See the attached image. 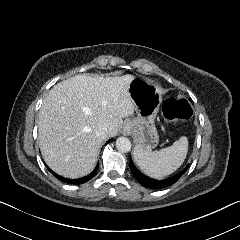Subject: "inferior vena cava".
I'll return each instance as SVG.
<instances>
[{"mask_svg":"<svg viewBox=\"0 0 240 240\" xmlns=\"http://www.w3.org/2000/svg\"><path fill=\"white\" fill-rule=\"evenodd\" d=\"M96 134L101 138V139H106L108 137V127L100 125L98 127V130Z\"/></svg>","mask_w":240,"mask_h":240,"instance_id":"obj_1","label":"inferior vena cava"}]
</instances>
